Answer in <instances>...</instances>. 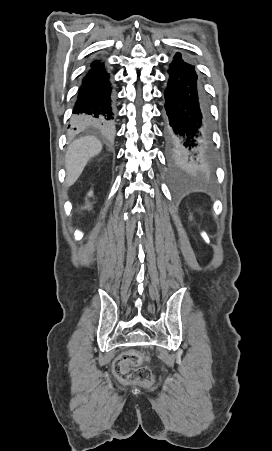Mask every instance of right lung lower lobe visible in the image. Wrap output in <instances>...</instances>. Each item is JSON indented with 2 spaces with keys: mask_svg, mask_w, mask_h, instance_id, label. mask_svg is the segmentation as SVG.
<instances>
[{
  "mask_svg": "<svg viewBox=\"0 0 272 451\" xmlns=\"http://www.w3.org/2000/svg\"><path fill=\"white\" fill-rule=\"evenodd\" d=\"M110 74L95 60L86 71L73 107L72 128L109 132L117 119Z\"/></svg>",
  "mask_w": 272,
  "mask_h": 451,
  "instance_id": "obj_1",
  "label": "right lung lower lobe"
}]
</instances>
